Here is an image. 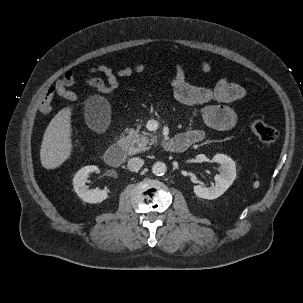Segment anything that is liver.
Segmentation results:
<instances>
[{
	"mask_svg": "<svg viewBox=\"0 0 303 303\" xmlns=\"http://www.w3.org/2000/svg\"><path fill=\"white\" fill-rule=\"evenodd\" d=\"M71 115V107L61 109L46 128L40 149V161L45 169H56L72 154Z\"/></svg>",
	"mask_w": 303,
	"mask_h": 303,
	"instance_id": "1",
	"label": "liver"
}]
</instances>
